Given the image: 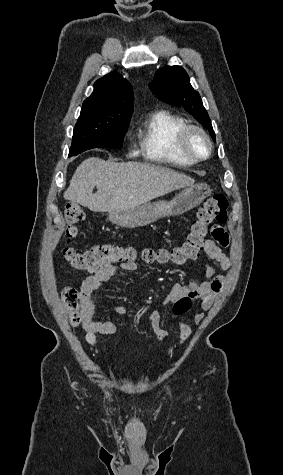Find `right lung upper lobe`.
Listing matches in <instances>:
<instances>
[{
  "mask_svg": "<svg viewBox=\"0 0 283 475\" xmlns=\"http://www.w3.org/2000/svg\"><path fill=\"white\" fill-rule=\"evenodd\" d=\"M84 105L123 106L133 105V92L130 83L113 71L94 83L93 93Z\"/></svg>",
  "mask_w": 283,
  "mask_h": 475,
  "instance_id": "1",
  "label": "right lung upper lobe"
}]
</instances>
